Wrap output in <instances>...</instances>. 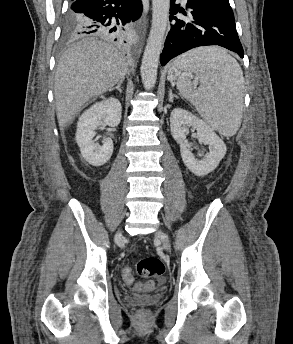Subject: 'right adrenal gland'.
<instances>
[{"instance_id":"1","label":"right adrenal gland","mask_w":293,"mask_h":344,"mask_svg":"<svg viewBox=\"0 0 293 344\" xmlns=\"http://www.w3.org/2000/svg\"><path fill=\"white\" fill-rule=\"evenodd\" d=\"M122 82L123 81L119 82L116 87L111 88L109 91L111 92V91L117 89L120 93H122V89H121Z\"/></svg>"}]
</instances>
